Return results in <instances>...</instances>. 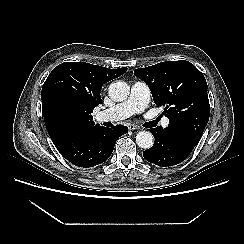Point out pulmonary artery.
Listing matches in <instances>:
<instances>
[{"label": "pulmonary artery", "mask_w": 244, "mask_h": 244, "mask_svg": "<svg viewBox=\"0 0 244 244\" xmlns=\"http://www.w3.org/2000/svg\"><path fill=\"white\" fill-rule=\"evenodd\" d=\"M150 100V90L143 82H135L131 87L130 96L109 109L103 110L98 114V118L104 121H117L130 117L135 113L143 112ZM169 124V119L164 118L163 126Z\"/></svg>", "instance_id": "e3ab8cb5"}]
</instances>
